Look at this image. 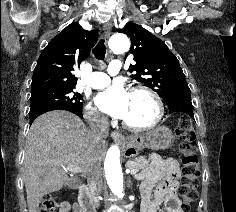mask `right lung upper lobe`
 <instances>
[{"instance_id":"obj_1","label":"right lung upper lobe","mask_w":236,"mask_h":212,"mask_svg":"<svg viewBox=\"0 0 236 212\" xmlns=\"http://www.w3.org/2000/svg\"><path fill=\"white\" fill-rule=\"evenodd\" d=\"M98 38L96 30L71 23L42 51L35 67L31 93L50 88L75 87L74 67L90 54Z\"/></svg>"}]
</instances>
